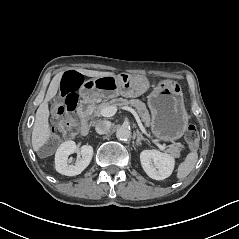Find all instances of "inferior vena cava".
<instances>
[{
    "mask_svg": "<svg viewBox=\"0 0 239 239\" xmlns=\"http://www.w3.org/2000/svg\"><path fill=\"white\" fill-rule=\"evenodd\" d=\"M110 126L111 125L108 121H101L96 124L95 131L98 134L103 135L109 132Z\"/></svg>",
    "mask_w": 239,
    "mask_h": 239,
    "instance_id": "1",
    "label": "inferior vena cava"
}]
</instances>
